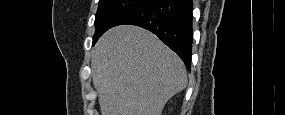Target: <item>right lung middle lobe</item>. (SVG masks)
<instances>
[{"mask_svg":"<svg viewBox=\"0 0 285 115\" xmlns=\"http://www.w3.org/2000/svg\"><path fill=\"white\" fill-rule=\"evenodd\" d=\"M151 0H99L95 18V34L93 45L99 37L124 16L140 8Z\"/></svg>","mask_w":285,"mask_h":115,"instance_id":"dd1d6c3e","label":"right lung middle lobe"}]
</instances>
